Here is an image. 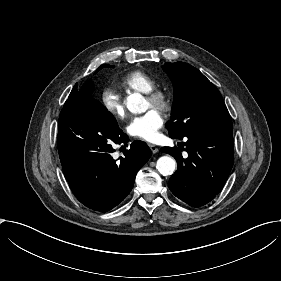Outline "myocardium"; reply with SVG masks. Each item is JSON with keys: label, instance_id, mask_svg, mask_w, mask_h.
Wrapping results in <instances>:
<instances>
[{"label": "myocardium", "instance_id": "myocardium-1", "mask_svg": "<svg viewBox=\"0 0 281 281\" xmlns=\"http://www.w3.org/2000/svg\"><path fill=\"white\" fill-rule=\"evenodd\" d=\"M146 100L150 107L160 111H167L169 108V99L167 95L161 91H154L148 94Z\"/></svg>", "mask_w": 281, "mask_h": 281}]
</instances>
